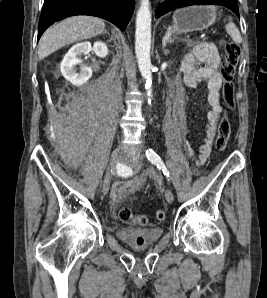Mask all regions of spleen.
<instances>
[{"mask_svg": "<svg viewBox=\"0 0 267 298\" xmlns=\"http://www.w3.org/2000/svg\"><path fill=\"white\" fill-rule=\"evenodd\" d=\"M225 28H226V32L230 35V37L236 44L242 43V37L240 35L238 28L234 23L231 22L227 24Z\"/></svg>", "mask_w": 267, "mask_h": 298, "instance_id": "obj_1", "label": "spleen"}]
</instances>
